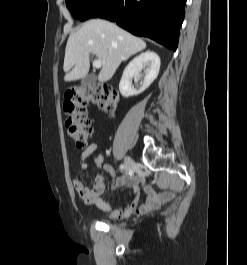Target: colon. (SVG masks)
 I'll use <instances>...</instances> for the list:
<instances>
[{
	"mask_svg": "<svg viewBox=\"0 0 247 265\" xmlns=\"http://www.w3.org/2000/svg\"><path fill=\"white\" fill-rule=\"evenodd\" d=\"M117 101V93L106 86H88L72 89L66 93L64 102V110L67 114L66 127L77 147L85 148L92 135V125L87 116L88 104L91 102L113 112Z\"/></svg>",
	"mask_w": 247,
	"mask_h": 265,
	"instance_id": "1",
	"label": "colon"
}]
</instances>
